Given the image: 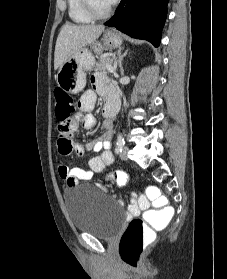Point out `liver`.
<instances>
[{"instance_id":"6515ba94","label":"liver","mask_w":227,"mask_h":279,"mask_svg":"<svg viewBox=\"0 0 227 279\" xmlns=\"http://www.w3.org/2000/svg\"><path fill=\"white\" fill-rule=\"evenodd\" d=\"M104 31L102 25H73L66 23L57 37L54 53V69L57 70L78 49L93 43Z\"/></svg>"}]
</instances>
